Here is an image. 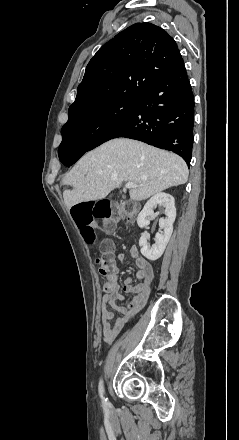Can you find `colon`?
I'll return each instance as SVG.
<instances>
[{
	"instance_id": "5ec220e1",
	"label": "colon",
	"mask_w": 239,
	"mask_h": 440,
	"mask_svg": "<svg viewBox=\"0 0 239 440\" xmlns=\"http://www.w3.org/2000/svg\"><path fill=\"white\" fill-rule=\"evenodd\" d=\"M137 209V205L129 201L112 205L108 200H100L96 203L88 202L75 205L72 209V216L84 240L93 244L96 240L95 220H103L106 230L112 231L120 221L132 217ZM96 262L101 275L107 280L111 281L117 276L118 267L110 243H103L101 255Z\"/></svg>"
}]
</instances>
